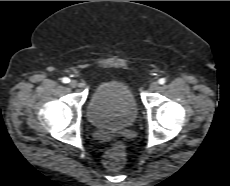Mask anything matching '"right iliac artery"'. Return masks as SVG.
Masks as SVG:
<instances>
[{"label": "right iliac artery", "mask_w": 230, "mask_h": 186, "mask_svg": "<svg viewBox=\"0 0 230 186\" xmlns=\"http://www.w3.org/2000/svg\"><path fill=\"white\" fill-rule=\"evenodd\" d=\"M62 82H63V83H69V82H70V79L67 78V77H64V78H62Z\"/></svg>", "instance_id": "1"}]
</instances>
